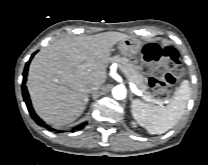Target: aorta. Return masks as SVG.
<instances>
[{
  "label": "aorta",
  "instance_id": "1",
  "mask_svg": "<svg viewBox=\"0 0 208 165\" xmlns=\"http://www.w3.org/2000/svg\"><path fill=\"white\" fill-rule=\"evenodd\" d=\"M112 95L117 100H122L126 97V88L123 85H117L112 90Z\"/></svg>",
  "mask_w": 208,
  "mask_h": 165
}]
</instances>
